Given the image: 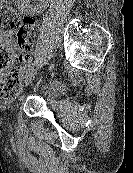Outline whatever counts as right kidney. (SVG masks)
<instances>
[{
	"label": "right kidney",
	"mask_w": 133,
	"mask_h": 173,
	"mask_svg": "<svg viewBox=\"0 0 133 173\" xmlns=\"http://www.w3.org/2000/svg\"><path fill=\"white\" fill-rule=\"evenodd\" d=\"M19 1V7L21 10L23 11H27V12H35L37 11V7H33V5L30 4V0H18ZM41 3L45 0H39Z\"/></svg>",
	"instance_id": "right-kidney-1"
}]
</instances>
